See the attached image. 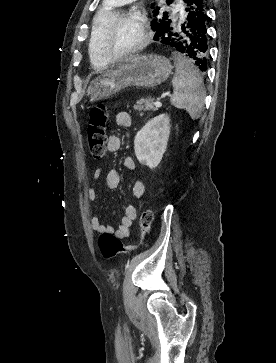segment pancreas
<instances>
[{"mask_svg": "<svg viewBox=\"0 0 276 363\" xmlns=\"http://www.w3.org/2000/svg\"><path fill=\"white\" fill-rule=\"evenodd\" d=\"M134 109L142 116L144 111H156L158 107L154 105L153 99H140L134 105Z\"/></svg>", "mask_w": 276, "mask_h": 363, "instance_id": "obj_1", "label": "pancreas"}]
</instances>
